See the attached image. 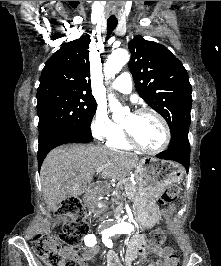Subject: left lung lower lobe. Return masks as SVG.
I'll list each match as a JSON object with an SVG mask.
<instances>
[{
	"mask_svg": "<svg viewBox=\"0 0 221 266\" xmlns=\"http://www.w3.org/2000/svg\"><path fill=\"white\" fill-rule=\"evenodd\" d=\"M157 157L183 164L188 171L190 163V144L188 135L173 139L168 149L159 153Z\"/></svg>",
	"mask_w": 221,
	"mask_h": 266,
	"instance_id": "1",
	"label": "left lung lower lobe"
}]
</instances>
